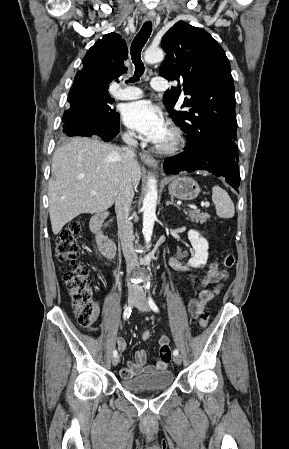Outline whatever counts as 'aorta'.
I'll use <instances>...</instances> for the list:
<instances>
[{"label": "aorta", "instance_id": "aorta-1", "mask_svg": "<svg viewBox=\"0 0 289 449\" xmlns=\"http://www.w3.org/2000/svg\"><path fill=\"white\" fill-rule=\"evenodd\" d=\"M164 59V52L160 48H148L144 54L146 63H158ZM147 193L143 200V235L147 244L151 241L154 221L156 219V203L158 198L157 184L154 178L147 183Z\"/></svg>", "mask_w": 289, "mask_h": 449}]
</instances>
